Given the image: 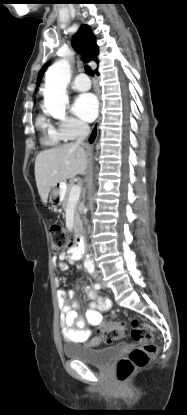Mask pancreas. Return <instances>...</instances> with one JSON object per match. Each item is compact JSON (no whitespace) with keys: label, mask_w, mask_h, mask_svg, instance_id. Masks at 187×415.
Wrapping results in <instances>:
<instances>
[{"label":"pancreas","mask_w":187,"mask_h":415,"mask_svg":"<svg viewBox=\"0 0 187 415\" xmlns=\"http://www.w3.org/2000/svg\"><path fill=\"white\" fill-rule=\"evenodd\" d=\"M73 186H74L73 183H70L67 185L66 191L63 196V201H62V207L64 210H66L69 205L70 192ZM78 223H79V213H78V207H77V202H76L75 207H74V227L75 228L77 227Z\"/></svg>","instance_id":"1"}]
</instances>
